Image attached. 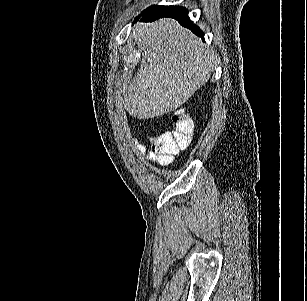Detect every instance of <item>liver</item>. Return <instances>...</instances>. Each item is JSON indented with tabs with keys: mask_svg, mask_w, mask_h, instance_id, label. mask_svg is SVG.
<instances>
[{
	"mask_svg": "<svg viewBox=\"0 0 307 301\" xmlns=\"http://www.w3.org/2000/svg\"><path fill=\"white\" fill-rule=\"evenodd\" d=\"M132 40L142 58L123 106L137 118L161 116L181 106L209 80L216 64V52L174 18L137 22Z\"/></svg>",
	"mask_w": 307,
	"mask_h": 301,
	"instance_id": "obj_1",
	"label": "liver"
}]
</instances>
